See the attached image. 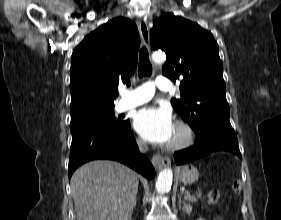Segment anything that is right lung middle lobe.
I'll list each match as a JSON object with an SVG mask.
<instances>
[{
	"label": "right lung middle lobe",
	"instance_id": "1",
	"mask_svg": "<svg viewBox=\"0 0 281 220\" xmlns=\"http://www.w3.org/2000/svg\"><path fill=\"white\" fill-rule=\"evenodd\" d=\"M129 120L114 116V108L71 119L70 129L72 134L86 129L104 128L119 129L125 126Z\"/></svg>",
	"mask_w": 281,
	"mask_h": 220
}]
</instances>
